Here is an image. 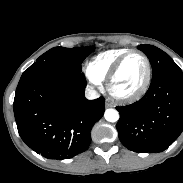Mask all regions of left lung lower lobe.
<instances>
[{
	"instance_id": "0a47b994",
	"label": "left lung lower lobe",
	"mask_w": 183,
	"mask_h": 183,
	"mask_svg": "<svg viewBox=\"0 0 183 183\" xmlns=\"http://www.w3.org/2000/svg\"><path fill=\"white\" fill-rule=\"evenodd\" d=\"M119 139L131 151L162 152L183 131V73L181 69L153 78L137 102L117 107Z\"/></svg>"
}]
</instances>
